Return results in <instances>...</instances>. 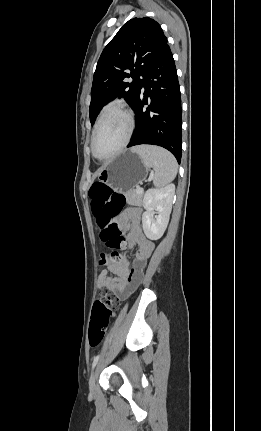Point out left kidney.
Returning <instances> with one entry per match:
<instances>
[{
    "mask_svg": "<svg viewBox=\"0 0 261 431\" xmlns=\"http://www.w3.org/2000/svg\"><path fill=\"white\" fill-rule=\"evenodd\" d=\"M175 187L169 185L160 189H149L144 195L142 215L144 233L150 240H158L164 234L172 210ZM155 211L157 215H155Z\"/></svg>",
    "mask_w": 261,
    "mask_h": 431,
    "instance_id": "left-kidney-1",
    "label": "left kidney"
}]
</instances>
